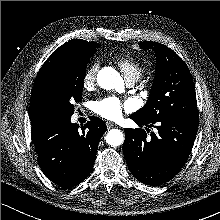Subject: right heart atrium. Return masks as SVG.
I'll return each instance as SVG.
<instances>
[{"instance_id": "d8ad5b80", "label": "right heart atrium", "mask_w": 220, "mask_h": 220, "mask_svg": "<svg viewBox=\"0 0 220 220\" xmlns=\"http://www.w3.org/2000/svg\"><path fill=\"white\" fill-rule=\"evenodd\" d=\"M98 68H99V63L93 62L85 70L82 79L83 87L85 89L90 88L95 84Z\"/></svg>"}]
</instances>
